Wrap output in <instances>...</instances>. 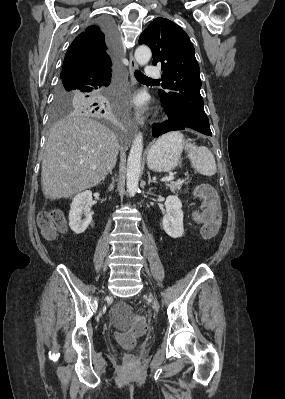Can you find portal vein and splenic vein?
<instances>
[{"mask_svg":"<svg viewBox=\"0 0 285 399\" xmlns=\"http://www.w3.org/2000/svg\"><path fill=\"white\" fill-rule=\"evenodd\" d=\"M93 170H95V168H93ZM174 179L173 176H166L164 178L161 179L162 182H169L172 181Z\"/></svg>","mask_w":285,"mask_h":399,"instance_id":"1","label":"portal vein and splenic vein"}]
</instances>
